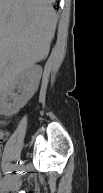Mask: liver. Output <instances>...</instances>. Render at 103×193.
<instances>
[{
    "label": "liver",
    "mask_w": 103,
    "mask_h": 193,
    "mask_svg": "<svg viewBox=\"0 0 103 193\" xmlns=\"http://www.w3.org/2000/svg\"><path fill=\"white\" fill-rule=\"evenodd\" d=\"M52 2L0 0L1 82L47 58L57 23Z\"/></svg>",
    "instance_id": "6515ba94"
}]
</instances>
